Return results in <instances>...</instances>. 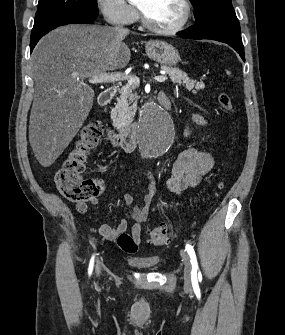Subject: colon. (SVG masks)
Instances as JSON below:
<instances>
[{
	"label": "colon",
	"mask_w": 285,
	"mask_h": 335,
	"mask_svg": "<svg viewBox=\"0 0 285 335\" xmlns=\"http://www.w3.org/2000/svg\"><path fill=\"white\" fill-rule=\"evenodd\" d=\"M220 106L231 111L233 104L226 93L218 95ZM103 126L95 121L86 124L80 131L75 147L70 151L63 164L54 173V182L60 193L75 203H86L98 197L103 191V182L95 178H84L82 174L86 168L87 156L100 142ZM225 182L218 184L223 189ZM148 241L154 246L167 244L172 234L167 227H156L147 233ZM118 247L126 253H136L138 242L132 234L123 232L117 237Z\"/></svg>",
	"instance_id": "5ec220e1"
}]
</instances>
